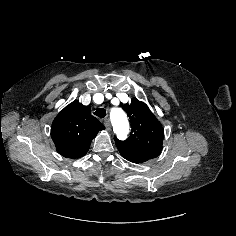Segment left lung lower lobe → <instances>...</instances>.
Returning <instances> with one entry per match:
<instances>
[{
	"label": "left lung lower lobe",
	"instance_id": "left-lung-lower-lobe-1",
	"mask_svg": "<svg viewBox=\"0 0 236 236\" xmlns=\"http://www.w3.org/2000/svg\"><path fill=\"white\" fill-rule=\"evenodd\" d=\"M121 156L133 163H143L150 159L156 158L161 151L132 149L124 146H117Z\"/></svg>",
	"mask_w": 236,
	"mask_h": 236
}]
</instances>
